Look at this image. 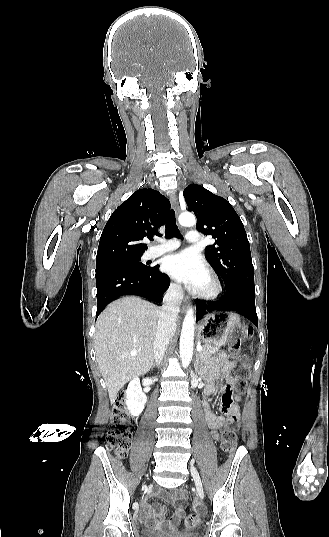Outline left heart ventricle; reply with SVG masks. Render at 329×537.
Instances as JSON below:
<instances>
[{"mask_svg":"<svg viewBox=\"0 0 329 537\" xmlns=\"http://www.w3.org/2000/svg\"><path fill=\"white\" fill-rule=\"evenodd\" d=\"M209 287H210V281L207 276L205 280L203 281V283L201 284L200 289H208Z\"/></svg>","mask_w":329,"mask_h":537,"instance_id":"1","label":"left heart ventricle"}]
</instances>
